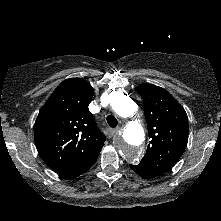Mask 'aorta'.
Segmentation results:
<instances>
[{
    "label": "aorta",
    "mask_w": 221,
    "mask_h": 221,
    "mask_svg": "<svg viewBox=\"0 0 221 221\" xmlns=\"http://www.w3.org/2000/svg\"><path fill=\"white\" fill-rule=\"evenodd\" d=\"M110 105L115 113L124 119L130 118L137 111L136 103L122 92L110 95ZM144 138L142 125L138 121L128 122L117 137V148L127 161L137 162L141 156Z\"/></svg>",
    "instance_id": "aorta-1"
}]
</instances>
